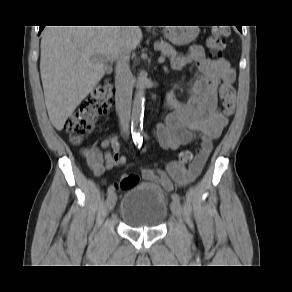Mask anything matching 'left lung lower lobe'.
Wrapping results in <instances>:
<instances>
[{
  "label": "left lung lower lobe",
  "mask_w": 292,
  "mask_h": 292,
  "mask_svg": "<svg viewBox=\"0 0 292 292\" xmlns=\"http://www.w3.org/2000/svg\"><path fill=\"white\" fill-rule=\"evenodd\" d=\"M237 28L242 32V26H237Z\"/></svg>",
  "instance_id": "1"
}]
</instances>
